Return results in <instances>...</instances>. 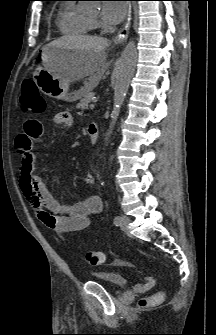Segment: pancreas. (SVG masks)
Segmentation results:
<instances>
[{
	"label": "pancreas",
	"instance_id": "pancreas-1",
	"mask_svg": "<svg viewBox=\"0 0 216 335\" xmlns=\"http://www.w3.org/2000/svg\"><path fill=\"white\" fill-rule=\"evenodd\" d=\"M95 96L94 92H91L90 85H85L82 88V97L79 103L76 105L77 109H86L90 102L93 101V97Z\"/></svg>",
	"mask_w": 216,
	"mask_h": 335
}]
</instances>
